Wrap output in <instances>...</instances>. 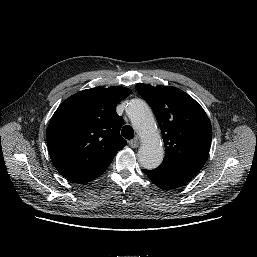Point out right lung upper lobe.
<instances>
[{
	"label": "right lung upper lobe",
	"mask_w": 257,
	"mask_h": 257,
	"mask_svg": "<svg viewBox=\"0 0 257 257\" xmlns=\"http://www.w3.org/2000/svg\"><path fill=\"white\" fill-rule=\"evenodd\" d=\"M125 87H95L60 104L46 131L51 161L67 179L82 184L100 176L127 142L116 105L128 97Z\"/></svg>",
	"instance_id": "cb5924a9"
}]
</instances>
